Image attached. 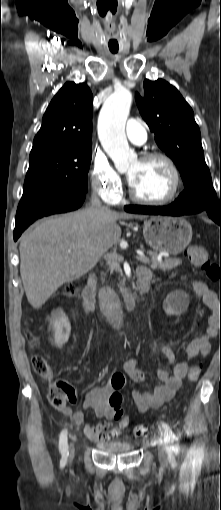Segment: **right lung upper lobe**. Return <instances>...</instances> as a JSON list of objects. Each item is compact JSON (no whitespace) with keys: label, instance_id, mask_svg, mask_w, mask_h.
I'll return each mask as SVG.
<instances>
[{"label":"right lung upper lobe","instance_id":"obj_1","mask_svg":"<svg viewBox=\"0 0 221 510\" xmlns=\"http://www.w3.org/2000/svg\"><path fill=\"white\" fill-rule=\"evenodd\" d=\"M92 102L86 84L67 82L49 104L30 156L91 145Z\"/></svg>","mask_w":221,"mask_h":510}]
</instances>
